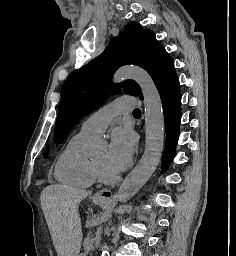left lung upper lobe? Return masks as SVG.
I'll return each mask as SVG.
<instances>
[{
	"label": "left lung upper lobe",
	"instance_id": "1",
	"mask_svg": "<svg viewBox=\"0 0 236 256\" xmlns=\"http://www.w3.org/2000/svg\"><path fill=\"white\" fill-rule=\"evenodd\" d=\"M127 64L145 69L155 85L174 67L171 57L152 31L143 29L139 23H128L100 56L66 81L55 125V143H62L82 117L101 106L110 94H118L121 87L128 95L142 97L135 81L114 84L111 80L114 72Z\"/></svg>",
	"mask_w": 236,
	"mask_h": 256
}]
</instances>
